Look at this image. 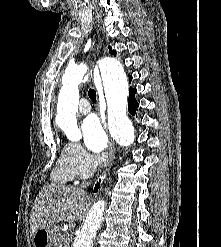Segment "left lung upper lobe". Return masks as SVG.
I'll list each match as a JSON object with an SVG mask.
<instances>
[{"instance_id": "obj_1", "label": "left lung upper lobe", "mask_w": 221, "mask_h": 247, "mask_svg": "<svg viewBox=\"0 0 221 247\" xmlns=\"http://www.w3.org/2000/svg\"><path fill=\"white\" fill-rule=\"evenodd\" d=\"M109 50H110V53L111 54L116 55V51L115 50H112L111 47H109Z\"/></svg>"}]
</instances>
